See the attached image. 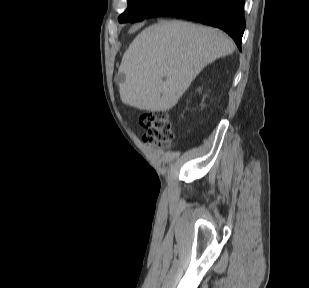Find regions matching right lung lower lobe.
I'll return each mask as SVG.
<instances>
[{
	"instance_id": "right-lung-lower-lobe-1",
	"label": "right lung lower lobe",
	"mask_w": 309,
	"mask_h": 288,
	"mask_svg": "<svg viewBox=\"0 0 309 288\" xmlns=\"http://www.w3.org/2000/svg\"><path fill=\"white\" fill-rule=\"evenodd\" d=\"M245 0H168L147 18L178 16L218 27L227 32L241 50L245 29Z\"/></svg>"
}]
</instances>
